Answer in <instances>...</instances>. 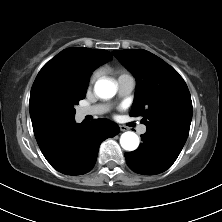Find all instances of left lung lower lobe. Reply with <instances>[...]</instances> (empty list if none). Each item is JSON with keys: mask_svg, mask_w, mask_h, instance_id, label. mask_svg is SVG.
I'll return each mask as SVG.
<instances>
[{"mask_svg": "<svg viewBox=\"0 0 222 222\" xmlns=\"http://www.w3.org/2000/svg\"><path fill=\"white\" fill-rule=\"evenodd\" d=\"M187 137V131L179 125L147 129L141 135L143 143L140 147L125 153L127 165L132 171L144 175L164 172L177 159Z\"/></svg>", "mask_w": 222, "mask_h": 222, "instance_id": "1", "label": "left lung lower lobe"}]
</instances>
